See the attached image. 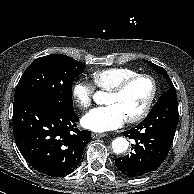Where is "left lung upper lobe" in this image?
<instances>
[{
	"label": "left lung upper lobe",
	"instance_id": "obj_1",
	"mask_svg": "<svg viewBox=\"0 0 194 194\" xmlns=\"http://www.w3.org/2000/svg\"><path fill=\"white\" fill-rule=\"evenodd\" d=\"M145 63H147L148 65H150L154 70H156L157 72L161 73L163 75V77L167 80V83L169 84V89L163 93L161 95V97L159 98L158 101L162 100V99H165V98H168V97H177L176 95V90L174 88V85L173 83L171 82L170 80V77L168 76L167 72L165 71L164 68L150 62V61H147V60H143Z\"/></svg>",
	"mask_w": 194,
	"mask_h": 194
}]
</instances>
